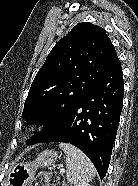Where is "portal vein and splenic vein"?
I'll list each match as a JSON object with an SVG mask.
<instances>
[{"label":"portal vein and splenic vein","instance_id":"portal-vein-and-splenic-vein-1","mask_svg":"<svg viewBox=\"0 0 138 186\" xmlns=\"http://www.w3.org/2000/svg\"><path fill=\"white\" fill-rule=\"evenodd\" d=\"M60 173H65V169L61 168Z\"/></svg>","mask_w":138,"mask_h":186}]
</instances>
